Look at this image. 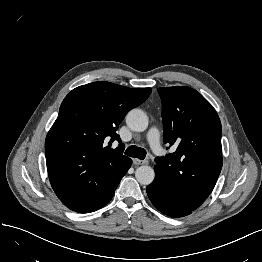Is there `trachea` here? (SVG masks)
Wrapping results in <instances>:
<instances>
[{"label": "trachea", "instance_id": "trachea-1", "mask_svg": "<svg viewBox=\"0 0 262 262\" xmlns=\"http://www.w3.org/2000/svg\"><path fill=\"white\" fill-rule=\"evenodd\" d=\"M125 154L130 156V157H135L138 159H145L146 157V151L143 148H138L137 146H129L126 150H125Z\"/></svg>", "mask_w": 262, "mask_h": 262}]
</instances>
